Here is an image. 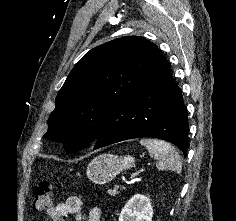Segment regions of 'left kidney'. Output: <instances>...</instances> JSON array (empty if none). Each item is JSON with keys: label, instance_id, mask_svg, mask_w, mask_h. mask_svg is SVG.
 Returning <instances> with one entry per match:
<instances>
[{"label": "left kidney", "instance_id": "5707ae66", "mask_svg": "<svg viewBox=\"0 0 236 221\" xmlns=\"http://www.w3.org/2000/svg\"><path fill=\"white\" fill-rule=\"evenodd\" d=\"M153 207L144 195H134L124 206L119 221H152Z\"/></svg>", "mask_w": 236, "mask_h": 221}]
</instances>
